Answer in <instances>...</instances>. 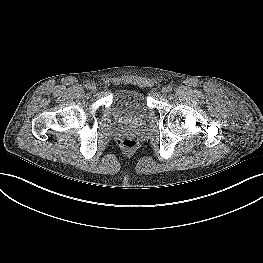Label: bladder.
Masks as SVG:
<instances>
[{
  "label": "bladder",
  "mask_w": 263,
  "mask_h": 263,
  "mask_svg": "<svg viewBox=\"0 0 263 263\" xmlns=\"http://www.w3.org/2000/svg\"><path fill=\"white\" fill-rule=\"evenodd\" d=\"M111 115L123 123L141 122L148 115V106L142 92L121 88L115 91L110 107Z\"/></svg>",
  "instance_id": "1"
}]
</instances>
